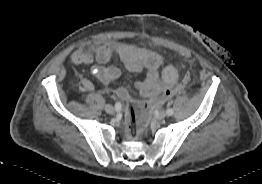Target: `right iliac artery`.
<instances>
[{"mask_svg": "<svg viewBox=\"0 0 262 184\" xmlns=\"http://www.w3.org/2000/svg\"><path fill=\"white\" fill-rule=\"evenodd\" d=\"M115 109H116V111H120V110H121V104H120V102H117V103L115 104Z\"/></svg>", "mask_w": 262, "mask_h": 184, "instance_id": "1", "label": "right iliac artery"}]
</instances>
